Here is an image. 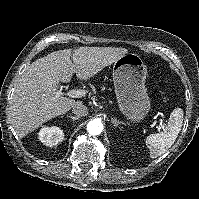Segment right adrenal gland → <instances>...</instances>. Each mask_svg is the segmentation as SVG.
<instances>
[{
  "label": "right adrenal gland",
  "instance_id": "2a0ac1e0",
  "mask_svg": "<svg viewBox=\"0 0 199 199\" xmlns=\"http://www.w3.org/2000/svg\"><path fill=\"white\" fill-rule=\"evenodd\" d=\"M68 117L71 118L73 121L79 119V117H75V116H71V115H69Z\"/></svg>",
  "mask_w": 199,
  "mask_h": 199
}]
</instances>
